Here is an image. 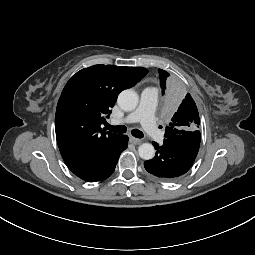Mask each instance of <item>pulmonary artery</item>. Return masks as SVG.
Here are the masks:
<instances>
[{
    "label": "pulmonary artery",
    "mask_w": 255,
    "mask_h": 255,
    "mask_svg": "<svg viewBox=\"0 0 255 255\" xmlns=\"http://www.w3.org/2000/svg\"><path fill=\"white\" fill-rule=\"evenodd\" d=\"M157 100V89L147 87L141 92L140 103L136 110L122 119H115L113 122L120 124L140 122L149 136L157 141H161L163 138L162 132L158 129L155 122Z\"/></svg>",
    "instance_id": "pulmonary-artery-1"
}]
</instances>
